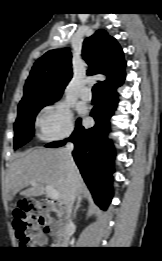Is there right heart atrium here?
<instances>
[{"instance_id": "d8ad5b80", "label": "right heart atrium", "mask_w": 162, "mask_h": 261, "mask_svg": "<svg viewBox=\"0 0 162 261\" xmlns=\"http://www.w3.org/2000/svg\"><path fill=\"white\" fill-rule=\"evenodd\" d=\"M41 136L58 140L69 136L73 130V115L69 107L56 100L45 107L38 120Z\"/></svg>"}]
</instances>
